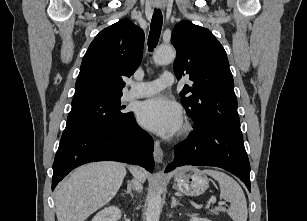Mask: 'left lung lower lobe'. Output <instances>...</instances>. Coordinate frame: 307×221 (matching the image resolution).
<instances>
[{
	"instance_id": "0a47b994",
	"label": "left lung lower lobe",
	"mask_w": 307,
	"mask_h": 221,
	"mask_svg": "<svg viewBox=\"0 0 307 221\" xmlns=\"http://www.w3.org/2000/svg\"><path fill=\"white\" fill-rule=\"evenodd\" d=\"M174 150L175 158L167 171L183 165L220 167L240 178L251 191L250 164L243 138L209 128L189 135Z\"/></svg>"
}]
</instances>
